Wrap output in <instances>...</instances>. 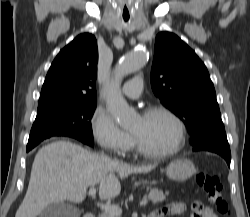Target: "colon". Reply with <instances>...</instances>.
<instances>
[{"mask_svg":"<svg viewBox=\"0 0 250 217\" xmlns=\"http://www.w3.org/2000/svg\"><path fill=\"white\" fill-rule=\"evenodd\" d=\"M197 183L205 191L217 211L222 215H227L229 213V204L217 175L201 172L197 175ZM191 217H198V212L193 211Z\"/></svg>","mask_w":250,"mask_h":217,"instance_id":"colon-1","label":"colon"}]
</instances>
